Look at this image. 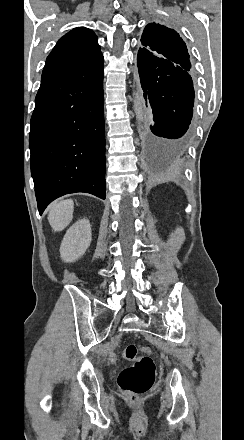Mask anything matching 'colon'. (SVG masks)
Instances as JSON below:
<instances>
[{"mask_svg": "<svg viewBox=\"0 0 244 440\" xmlns=\"http://www.w3.org/2000/svg\"><path fill=\"white\" fill-rule=\"evenodd\" d=\"M122 358L135 362L132 368L124 369L119 375V385L123 394L134 401L151 389L155 381V365L148 351L140 345L129 344L122 352Z\"/></svg>", "mask_w": 244, "mask_h": 440, "instance_id": "colon-1", "label": "colon"}]
</instances>
